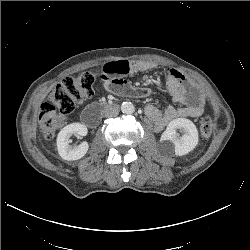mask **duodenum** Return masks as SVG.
<instances>
[{
	"label": "duodenum",
	"mask_w": 250,
	"mask_h": 250,
	"mask_svg": "<svg viewBox=\"0 0 250 250\" xmlns=\"http://www.w3.org/2000/svg\"><path fill=\"white\" fill-rule=\"evenodd\" d=\"M114 108L113 104H109L106 102H97L89 107H87L81 114L82 122L89 126L93 127L97 125L102 114L108 110H112Z\"/></svg>",
	"instance_id": "410a0bca"
}]
</instances>
